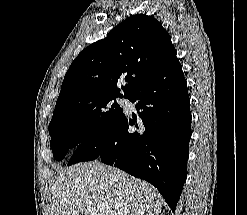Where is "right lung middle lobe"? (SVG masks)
<instances>
[{
	"instance_id": "dd1d6c3e",
	"label": "right lung middle lobe",
	"mask_w": 247,
	"mask_h": 215,
	"mask_svg": "<svg viewBox=\"0 0 247 215\" xmlns=\"http://www.w3.org/2000/svg\"><path fill=\"white\" fill-rule=\"evenodd\" d=\"M117 97L122 98L123 95H98L68 104L54 112L49 124L54 159L62 160L70 150L115 121L123 113L116 102Z\"/></svg>"
}]
</instances>
